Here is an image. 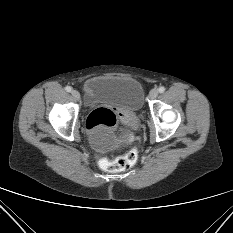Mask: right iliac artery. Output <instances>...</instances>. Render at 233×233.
<instances>
[{
  "instance_id": "1",
  "label": "right iliac artery",
  "mask_w": 233,
  "mask_h": 233,
  "mask_svg": "<svg viewBox=\"0 0 233 233\" xmlns=\"http://www.w3.org/2000/svg\"><path fill=\"white\" fill-rule=\"evenodd\" d=\"M65 90H66L67 92H71L72 88H71L70 86H66V87H65Z\"/></svg>"
}]
</instances>
